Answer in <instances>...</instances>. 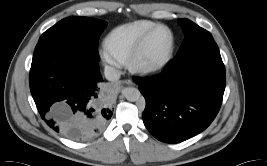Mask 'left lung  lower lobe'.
<instances>
[{
	"mask_svg": "<svg viewBox=\"0 0 267 166\" xmlns=\"http://www.w3.org/2000/svg\"><path fill=\"white\" fill-rule=\"evenodd\" d=\"M146 100L143 122L158 140L178 143L205 130L223 99L226 74L217 44L203 43L159 75L134 79Z\"/></svg>",
	"mask_w": 267,
	"mask_h": 166,
	"instance_id": "1",
	"label": "left lung lower lobe"
}]
</instances>
